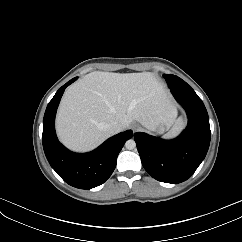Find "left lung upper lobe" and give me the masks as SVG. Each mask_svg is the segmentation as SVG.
<instances>
[{
  "instance_id": "1",
  "label": "left lung upper lobe",
  "mask_w": 242,
  "mask_h": 242,
  "mask_svg": "<svg viewBox=\"0 0 242 242\" xmlns=\"http://www.w3.org/2000/svg\"><path fill=\"white\" fill-rule=\"evenodd\" d=\"M163 77L165 78V80L170 88H175V89H190L191 88L185 81H183L178 76H174L172 74H164Z\"/></svg>"
}]
</instances>
